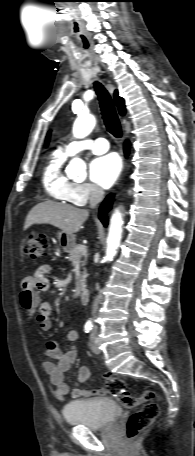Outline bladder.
I'll list each match as a JSON object with an SVG mask.
<instances>
[{
  "instance_id": "1",
  "label": "bladder",
  "mask_w": 195,
  "mask_h": 456,
  "mask_svg": "<svg viewBox=\"0 0 195 456\" xmlns=\"http://www.w3.org/2000/svg\"><path fill=\"white\" fill-rule=\"evenodd\" d=\"M122 411L121 406L114 400L100 398L71 402L63 408L62 415L69 425L104 430L119 419Z\"/></svg>"
}]
</instances>
